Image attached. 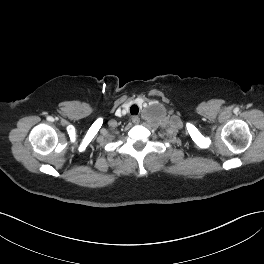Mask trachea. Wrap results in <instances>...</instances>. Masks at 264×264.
<instances>
[{"label": "trachea", "mask_w": 264, "mask_h": 264, "mask_svg": "<svg viewBox=\"0 0 264 264\" xmlns=\"http://www.w3.org/2000/svg\"><path fill=\"white\" fill-rule=\"evenodd\" d=\"M138 112H139L138 106L137 105H132L131 108H130L131 115L138 114Z\"/></svg>", "instance_id": "trachea-1"}]
</instances>
